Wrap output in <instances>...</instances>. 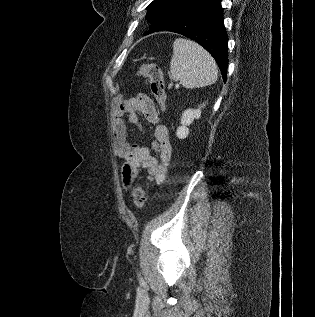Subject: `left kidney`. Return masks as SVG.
<instances>
[{"label":"left kidney","instance_id":"left-kidney-1","mask_svg":"<svg viewBox=\"0 0 315 317\" xmlns=\"http://www.w3.org/2000/svg\"><path fill=\"white\" fill-rule=\"evenodd\" d=\"M203 103L198 109H187L182 113L181 116V126L177 128L176 135L179 139H185L189 134V126L194 119H199L201 117V108L204 107Z\"/></svg>","mask_w":315,"mask_h":317}]
</instances>
